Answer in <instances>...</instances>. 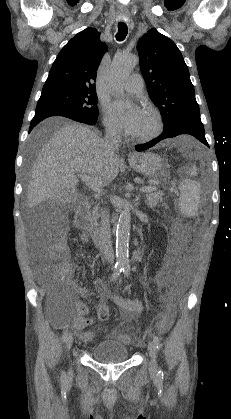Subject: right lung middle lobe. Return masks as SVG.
<instances>
[{"mask_svg": "<svg viewBox=\"0 0 231 419\" xmlns=\"http://www.w3.org/2000/svg\"><path fill=\"white\" fill-rule=\"evenodd\" d=\"M95 91L66 86L43 87L36 106V115L63 116L80 122L97 120L98 108Z\"/></svg>", "mask_w": 231, "mask_h": 419, "instance_id": "obj_1", "label": "right lung middle lobe"}]
</instances>
